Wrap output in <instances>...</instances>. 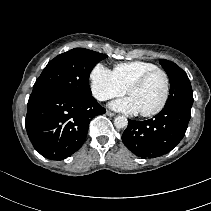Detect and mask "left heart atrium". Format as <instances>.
Masks as SVG:
<instances>
[{"mask_svg": "<svg viewBox=\"0 0 211 211\" xmlns=\"http://www.w3.org/2000/svg\"><path fill=\"white\" fill-rule=\"evenodd\" d=\"M110 106H111V108H113L117 111L129 113V114H136L139 112V109H138L135 101L130 96L123 98V99L113 101L110 104Z\"/></svg>", "mask_w": 211, "mask_h": 211, "instance_id": "obj_1", "label": "left heart atrium"}]
</instances>
